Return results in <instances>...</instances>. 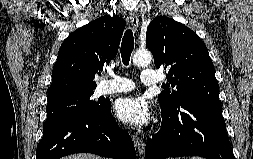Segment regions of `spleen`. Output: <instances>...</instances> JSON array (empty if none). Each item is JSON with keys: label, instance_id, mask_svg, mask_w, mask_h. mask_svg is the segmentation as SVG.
Segmentation results:
<instances>
[{"label": "spleen", "instance_id": "spleen-1", "mask_svg": "<svg viewBox=\"0 0 253 159\" xmlns=\"http://www.w3.org/2000/svg\"><path fill=\"white\" fill-rule=\"evenodd\" d=\"M191 159H203L201 157H192Z\"/></svg>", "mask_w": 253, "mask_h": 159}]
</instances>
